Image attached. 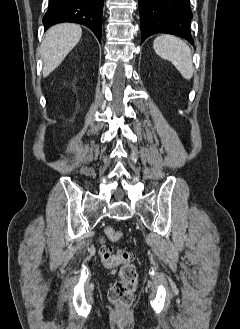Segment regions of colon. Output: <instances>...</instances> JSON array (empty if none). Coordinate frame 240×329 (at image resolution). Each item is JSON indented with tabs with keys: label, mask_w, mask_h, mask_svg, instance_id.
Segmentation results:
<instances>
[{
	"label": "colon",
	"mask_w": 240,
	"mask_h": 329,
	"mask_svg": "<svg viewBox=\"0 0 240 329\" xmlns=\"http://www.w3.org/2000/svg\"><path fill=\"white\" fill-rule=\"evenodd\" d=\"M105 237L103 241H116L121 238L122 233L112 227L104 230ZM100 257L103 264L110 269L119 268V280H117L109 289L108 297L110 301L122 307H128L132 304L134 292L137 287L138 275L135 267L129 263L133 258V253L128 250H118L113 252L106 246L100 249Z\"/></svg>",
	"instance_id": "colon-1"
}]
</instances>
